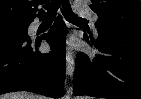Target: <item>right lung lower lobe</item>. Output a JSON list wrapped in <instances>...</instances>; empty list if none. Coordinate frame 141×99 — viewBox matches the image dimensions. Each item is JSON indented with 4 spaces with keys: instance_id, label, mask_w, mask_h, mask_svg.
<instances>
[{
    "instance_id": "1",
    "label": "right lung lower lobe",
    "mask_w": 141,
    "mask_h": 99,
    "mask_svg": "<svg viewBox=\"0 0 141 99\" xmlns=\"http://www.w3.org/2000/svg\"><path fill=\"white\" fill-rule=\"evenodd\" d=\"M28 21V26L32 22ZM65 24L57 18L42 37L51 52L38 51L41 39L26 32H0V94L31 91L53 98L63 95L65 78Z\"/></svg>"
}]
</instances>
